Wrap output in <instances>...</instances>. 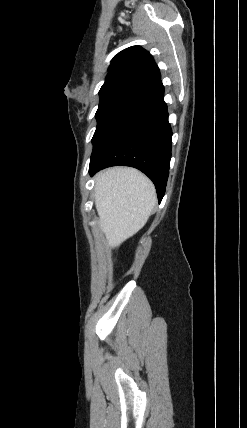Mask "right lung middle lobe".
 <instances>
[{"label": "right lung middle lobe", "mask_w": 247, "mask_h": 428, "mask_svg": "<svg viewBox=\"0 0 247 428\" xmlns=\"http://www.w3.org/2000/svg\"><path fill=\"white\" fill-rule=\"evenodd\" d=\"M100 103L95 114L97 128L92 138V143L99 138L107 125L132 101L139 93L127 90H114L99 93Z\"/></svg>", "instance_id": "1"}]
</instances>
